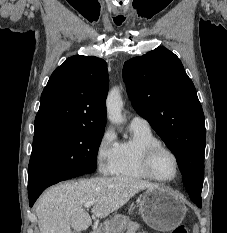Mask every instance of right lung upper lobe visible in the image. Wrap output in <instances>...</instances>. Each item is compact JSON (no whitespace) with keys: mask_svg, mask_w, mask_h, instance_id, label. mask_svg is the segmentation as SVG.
<instances>
[{"mask_svg":"<svg viewBox=\"0 0 227 233\" xmlns=\"http://www.w3.org/2000/svg\"><path fill=\"white\" fill-rule=\"evenodd\" d=\"M107 64L94 56L68 58L51 75L35 118V133L56 127H105Z\"/></svg>","mask_w":227,"mask_h":233,"instance_id":"cb5924a9","label":"right lung upper lobe"}]
</instances>
